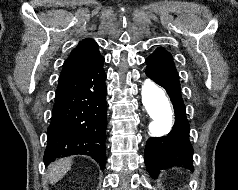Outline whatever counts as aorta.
Segmentation results:
<instances>
[{
  "mask_svg": "<svg viewBox=\"0 0 238 190\" xmlns=\"http://www.w3.org/2000/svg\"><path fill=\"white\" fill-rule=\"evenodd\" d=\"M142 103L151 117L149 131L154 137L167 134L172 127L173 111L165 91L150 79L141 89Z\"/></svg>",
  "mask_w": 238,
  "mask_h": 190,
  "instance_id": "obj_1",
  "label": "aorta"
}]
</instances>
